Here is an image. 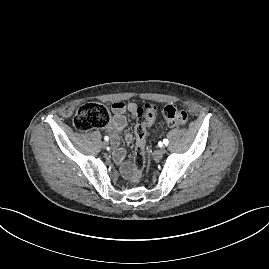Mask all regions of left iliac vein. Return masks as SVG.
<instances>
[{"instance_id":"1","label":"left iliac vein","mask_w":269,"mask_h":269,"mask_svg":"<svg viewBox=\"0 0 269 269\" xmlns=\"http://www.w3.org/2000/svg\"><path fill=\"white\" fill-rule=\"evenodd\" d=\"M164 153H165L164 149H161V150H159L157 152L153 150V151L150 152L149 155H150L151 158L155 159L156 161H160L162 159Z\"/></svg>"}]
</instances>
